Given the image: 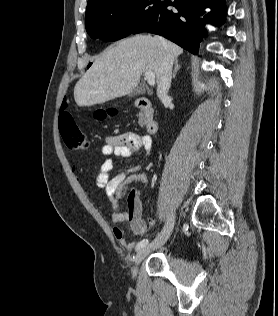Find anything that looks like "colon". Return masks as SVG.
I'll return each instance as SVG.
<instances>
[{
    "mask_svg": "<svg viewBox=\"0 0 278 316\" xmlns=\"http://www.w3.org/2000/svg\"><path fill=\"white\" fill-rule=\"evenodd\" d=\"M59 129L62 139L71 150H84L89 146L86 134L79 128L69 113L62 112L59 117Z\"/></svg>",
    "mask_w": 278,
    "mask_h": 316,
    "instance_id": "5ec220e1",
    "label": "colon"
}]
</instances>
